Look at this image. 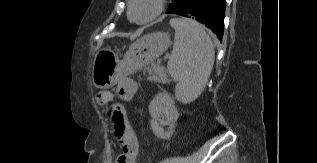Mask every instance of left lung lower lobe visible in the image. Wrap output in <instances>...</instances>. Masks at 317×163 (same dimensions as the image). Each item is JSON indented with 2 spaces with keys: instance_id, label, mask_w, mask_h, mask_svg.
<instances>
[{
  "instance_id": "1",
  "label": "left lung lower lobe",
  "mask_w": 317,
  "mask_h": 163,
  "mask_svg": "<svg viewBox=\"0 0 317 163\" xmlns=\"http://www.w3.org/2000/svg\"><path fill=\"white\" fill-rule=\"evenodd\" d=\"M171 13L192 18L205 24L222 41L225 0H181L177 8Z\"/></svg>"
}]
</instances>
